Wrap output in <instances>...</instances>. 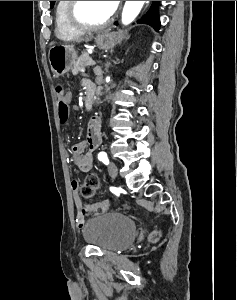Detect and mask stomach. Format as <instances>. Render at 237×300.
<instances>
[{
	"instance_id": "obj_1",
	"label": "stomach",
	"mask_w": 237,
	"mask_h": 300,
	"mask_svg": "<svg viewBox=\"0 0 237 300\" xmlns=\"http://www.w3.org/2000/svg\"><path fill=\"white\" fill-rule=\"evenodd\" d=\"M88 39H94L98 49H112L118 41V33L99 31L89 35ZM48 59L53 73L62 77L72 69L77 59V51L72 45H54L49 49Z\"/></svg>"
}]
</instances>
